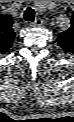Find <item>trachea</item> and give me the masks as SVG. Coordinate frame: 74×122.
<instances>
[{"instance_id":"trachea-1","label":"trachea","mask_w":74,"mask_h":122,"mask_svg":"<svg viewBox=\"0 0 74 122\" xmlns=\"http://www.w3.org/2000/svg\"><path fill=\"white\" fill-rule=\"evenodd\" d=\"M34 19H35V11L31 7H28L24 11V20L34 22Z\"/></svg>"}]
</instances>
